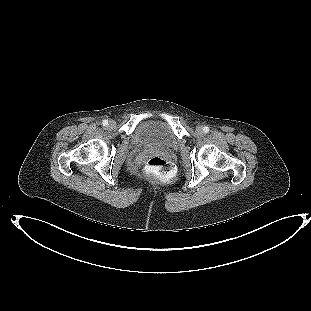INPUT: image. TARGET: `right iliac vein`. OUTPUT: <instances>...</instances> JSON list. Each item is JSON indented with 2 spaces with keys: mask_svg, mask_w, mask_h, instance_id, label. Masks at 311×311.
<instances>
[{
  "mask_svg": "<svg viewBox=\"0 0 311 311\" xmlns=\"http://www.w3.org/2000/svg\"><path fill=\"white\" fill-rule=\"evenodd\" d=\"M109 127H110L111 129L115 128V127H116V122H115L114 120H111V121L109 122Z\"/></svg>",
  "mask_w": 311,
  "mask_h": 311,
  "instance_id": "right-iliac-vein-1",
  "label": "right iliac vein"
}]
</instances>
